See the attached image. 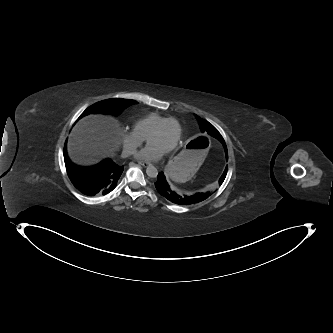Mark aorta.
<instances>
[{
	"label": "aorta",
	"instance_id": "aorta-1",
	"mask_svg": "<svg viewBox=\"0 0 333 333\" xmlns=\"http://www.w3.org/2000/svg\"><path fill=\"white\" fill-rule=\"evenodd\" d=\"M146 173L149 177L155 178L158 175V170L154 166L150 165L147 167Z\"/></svg>",
	"mask_w": 333,
	"mask_h": 333
}]
</instances>
